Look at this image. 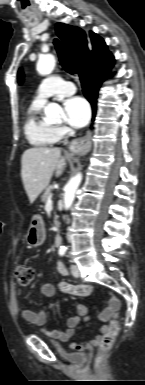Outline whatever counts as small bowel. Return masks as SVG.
Listing matches in <instances>:
<instances>
[{
  "mask_svg": "<svg viewBox=\"0 0 145 385\" xmlns=\"http://www.w3.org/2000/svg\"><path fill=\"white\" fill-rule=\"evenodd\" d=\"M57 271L63 275V276H68V270L65 267V265L62 262L57 261L55 263ZM64 285H70V284H61L60 287ZM76 287V289L79 290L76 296H82L86 297L91 294L92 288L88 284H81V285H71ZM41 293L44 296L45 300L51 299L56 295V286L50 283L43 284L41 286ZM12 300H13V305L14 307L16 306L15 302V296L14 294L12 295ZM120 307V301L112 296L110 299V307L106 310H104L100 314V318L103 321H108L110 318H116L118 316V309ZM87 314V309L84 305L79 304L76 306L74 310V314L69 317L66 321V328L63 331H58V330H53L49 331L46 328H44V325L47 322V304L44 303L39 311H32L29 309H23L22 310V317L29 323L41 327V331L46 334L51 336L57 341H68L74 334L76 327L80 323L81 320L87 321L89 318L86 315ZM108 331V325L104 324L102 325L100 332L101 335L105 334ZM101 335L96 336L95 338L89 339L86 342L83 343H76V342H71L69 343V348L73 351L81 352L84 351L87 348H90L92 346H96L100 339Z\"/></svg>",
  "mask_w": 145,
  "mask_h": 385,
  "instance_id": "obj_1",
  "label": "small bowel"
}]
</instances>
